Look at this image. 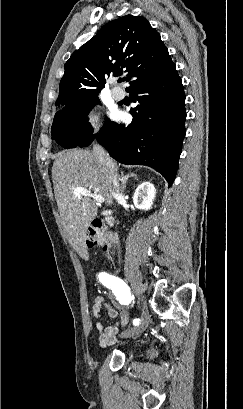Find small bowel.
<instances>
[{
    "mask_svg": "<svg viewBox=\"0 0 243 409\" xmlns=\"http://www.w3.org/2000/svg\"><path fill=\"white\" fill-rule=\"evenodd\" d=\"M92 309L95 317H100L101 313L106 311L108 317L112 320V323L108 326H104L101 322H98L96 325L99 333L100 347L105 348L115 344L117 342L119 325L124 327L128 323V314L123 310L116 309L102 296L95 297Z\"/></svg>",
    "mask_w": 243,
    "mask_h": 409,
    "instance_id": "small-bowel-1",
    "label": "small bowel"
}]
</instances>
